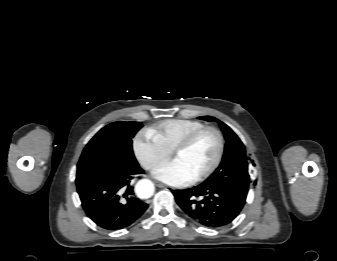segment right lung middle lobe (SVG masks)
<instances>
[{
	"label": "right lung middle lobe",
	"instance_id": "right-lung-middle-lobe-1",
	"mask_svg": "<svg viewBox=\"0 0 337 261\" xmlns=\"http://www.w3.org/2000/svg\"><path fill=\"white\" fill-rule=\"evenodd\" d=\"M141 122H114L102 128L86 145L77 165L76 183L122 167H136L132 138Z\"/></svg>",
	"mask_w": 337,
	"mask_h": 261
}]
</instances>
